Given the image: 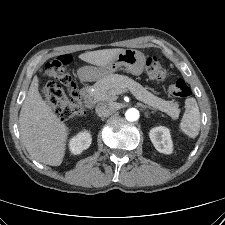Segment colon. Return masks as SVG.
Here are the masks:
<instances>
[{
  "label": "colon",
  "mask_w": 225,
  "mask_h": 225,
  "mask_svg": "<svg viewBox=\"0 0 225 225\" xmlns=\"http://www.w3.org/2000/svg\"><path fill=\"white\" fill-rule=\"evenodd\" d=\"M70 62L71 58L69 55H61L53 58L46 65L47 74L66 86L69 94L65 92L60 84L54 81L46 83L42 89L46 104L64 119L83 117L85 115V105L81 95L77 91L71 76L66 71V67ZM146 71L152 78L157 80H162L166 76L164 62L156 56H151L147 59ZM168 93L179 99H187L191 95V90L184 80L178 79L169 86Z\"/></svg>",
  "instance_id": "colon-1"
}]
</instances>
